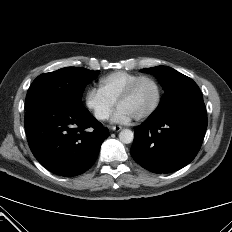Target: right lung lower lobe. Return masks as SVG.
<instances>
[{
	"instance_id": "obj_1",
	"label": "right lung lower lobe",
	"mask_w": 232,
	"mask_h": 232,
	"mask_svg": "<svg viewBox=\"0 0 232 232\" xmlns=\"http://www.w3.org/2000/svg\"><path fill=\"white\" fill-rule=\"evenodd\" d=\"M29 147L49 171L71 177L96 161L108 129L83 106L38 103L26 109Z\"/></svg>"
}]
</instances>
